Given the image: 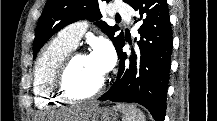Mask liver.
<instances>
[{
  "instance_id": "1",
  "label": "liver",
  "mask_w": 217,
  "mask_h": 121,
  "mask_svg": "<svg viewBox=\"0 0 217 121\" xmlns=\"http://www.w3.org/2000/svg\"><path fill=\"white\" fill-rule=\"evenodd\" d=\"M96 105H90L85 106L77 110L76 112H73L72 115H64L65 120L67 119H75L76 121H86L87 115L90 113V111L95 107Z\"/></svg>"
}]
</instances>
